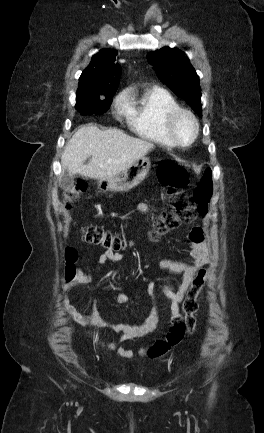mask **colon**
<instances>
[{
  "label": "colon",
  "mask_w": 264,
  "mask_h": 433,
  "mask_svg": "<svg viewBox=\"0 0 264 433\" xmlns=\"http://www.w3.org/2000/svg\"><path fill=\"white\" fill-rule=\"evenodd\" d=\"M158 178L160 183L166 188L173 209L164 211L156 216L149 232V239L156 241L158 238L170 230L176 229L181 225L191 223L196 214H205L208 210V203L213 191V182L210 169H206L191 194L182 191L189 184V174L187 170L174 161H164L159 165ZM86 184L84 181L78 183L65 192L67 207L79 198L84 192ZM82 239L88 244H93L118 253L127 248L128 243L125 239L102 227L87 226L82 229ZM76 252L72 248L66 250L67 275L74 272V262ZM209 277V268L199 270L191 282L185 299L183 301L184 322L188 333H193L196 325L195 313L198 309L197 298Z\"/></svg>",
  "instance_id": "5ec220e1"
}]
</instances>
